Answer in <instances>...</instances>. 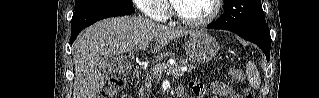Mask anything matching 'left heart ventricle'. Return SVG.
I'll list each match as a JSON object with an SVG mask.
<instances>
[{
    "label": "left heart ventricle",
    "instance_id": "1",
    "mask_svg": "<svg viewBox=\"0 0 319 98\" xmlns=\"http://www.w3.org/2000/svg\"><path fill=\"white\" fill-rule=\"evenodd\" d=\"M176 6L179 13L190 20L203 19L213 10L212 0H178Z\"/></svg>",
    "mask_w": 319,
    "mask_h": 98
}]
</instances>
